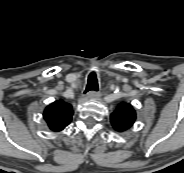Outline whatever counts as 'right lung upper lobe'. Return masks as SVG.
<instances>
[{
	"label": "right lung upper lobe",
	"mask_w": 184,
	"mask_h": 173,
	"mask_svg": "<svg viewBox=\"0 0 184 173\" xmlns=\"http://www.w3.org/2000/svg\"><path fill=\"white\" fill-rule=\"evenodd\" d=\"M72 115V106L60 99L46 107L43 117L52 131L59 132L71 122Z\"/></svg>",
	"instance_id": "obj_1"
}]
</instances>
